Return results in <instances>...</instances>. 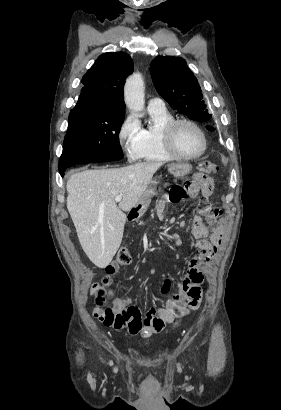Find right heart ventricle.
<instances>
[{
	"instance_id": "right-heart-ventricle-1",
	"label": "right heart ventricle",
	"mask_w": 281,
	"mask_h": 410,
	"mask_svg": "<svg viewBox=\"0 0 281 410\" xmlns=\"http://www.w3.org/2000/svg\"><path fill=\"white\" fill-rule=\"evenodd\" d=\"M150 123L143 129V137L138 159L149 162H167L176 159L171 155L162 140L164 126L174 119L166 109H148Z\"/></svg>"
}]
</instances>
